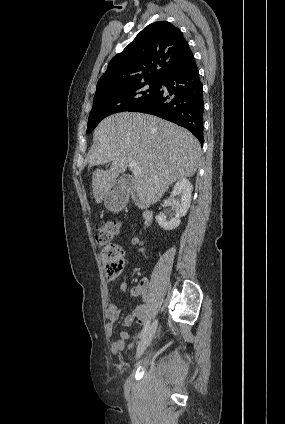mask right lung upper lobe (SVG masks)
I'll return each mask as SVG.
<instances>
[{
    "instance_id": "1",
    "label": "right lung upper lobe",
    "mask_w": 285,
    "mask_h": 424,
    "mask_svg": "<svg viewBox=\"0 0 285 424\" xmlns=\"http://www.w3.org/2000/svg\"><path fill=\"white\" fill-rule=\"evenodd\" d=\"M193 59L181 31L169 22L158 21L144 28L109 62L96 91L139 81H161Z\"/></svg>"
}]
</instances>
